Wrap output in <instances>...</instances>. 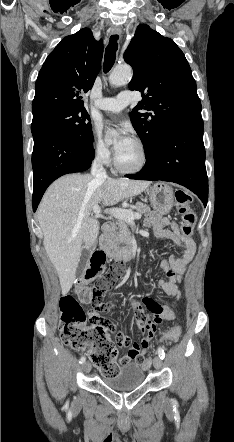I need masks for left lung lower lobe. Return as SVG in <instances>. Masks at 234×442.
<instances>
[{"instance_id":"left-lung-lower-lobe-1","label":"left lung lower lobe","mask_w":234,"mask_h":442,"mask_svg":"<svg viewBox=\"0 0 234 442\" xmlns=\"http://www.w3.org/2000/svg\"><path fill=\"white\" fill-rule=\"evenodd\" d=\"M137 180H162L183 185L206 205L208 178L205 168L202 117L179 122L165 131L139 174Z\"/></svg>"}]
</instances>
